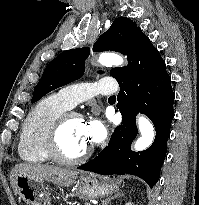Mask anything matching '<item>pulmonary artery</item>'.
Listing matches in <instances>:
<instances>
[{"instance_id":"1","label":"pulmonary artery","mask_w":199,"mask_h":205,"mask_svg":"<svg viewBox=\"0 0 199 205\" xmlns=\"http://www.w3.org/2000/svg\"><path fill=\"white\" fill-rule=\"evenodd\" d=\"M116 91V86L107 85L105 81H93L71 84L59 91V96L69 108L98 94L109 95Z\"/></svg>"}]
</instances>
